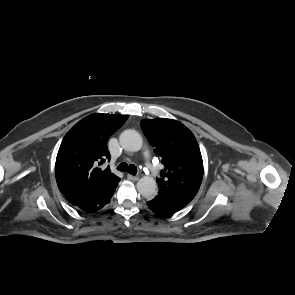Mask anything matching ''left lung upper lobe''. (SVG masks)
I'll return each instance as SVG.
<instances>
[{
    "instance_id": "left-lung-upper-lobe-1",
    "label": "left lung upper lobe",
    "mask_w": 295,
    "mask_h": 295,
    "mask_svg": "<svg viewBox=\"0 0 295 295\" xmlns=\"http://www.w3.org/2000/svg\"><path fill=\"white\" fill-rule=\"evenodd\" d=\"M141 127L165 166L157 179L159 190L193 199L203 178V160L193 133L165 118L142 120Z\"/></svg>"
}]
</instances>
